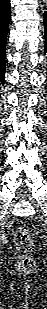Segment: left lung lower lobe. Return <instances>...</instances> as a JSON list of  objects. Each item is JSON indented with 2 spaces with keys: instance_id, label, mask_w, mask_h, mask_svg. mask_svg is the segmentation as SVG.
Instances as JSON below:
<instances>
[{
  "instance_id": "0a47b994",
  "label": "left lung lower lobe",
  "mask_w": 47,
  "mask_h": 309,
  "mask_svg": "<svg viewBox=\"0 0 47 309\" xmlns=\"http://www.w3.org/2000/svg\"><path fill=\"white\" fill-rule=\"evenodd\" d=\"M44 26H45V36H46V44H45V51L44 53L47 52V12L44 14Z\"/></svg>"
}]
</instances>
